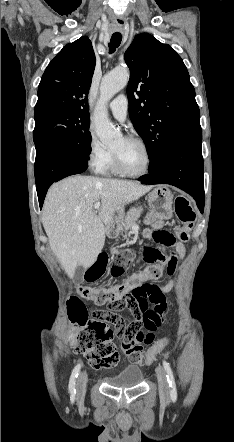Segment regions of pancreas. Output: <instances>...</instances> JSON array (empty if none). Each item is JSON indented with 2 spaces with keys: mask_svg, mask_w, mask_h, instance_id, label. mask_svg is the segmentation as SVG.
I'll use <instances>...</instances> for the list:
<instances>
[{
  "mask_svg": "<svg viewBox=\"0 0 234 442\" xmlns=\"http://www.w3.org/2000/svg\"><path fill=\"white\" fill-rule=\"evenodd\" d=\"M142 213V210L140 208H131L126 216L120 221L121 224V230L124 232H127L131 226L138 220ZM122 212H119V215H121Z\"/></svg>",
  "mask_w": 234,
  "mask_h": 442,
  "instance_id": "pancreas-1",
  "label": "pancreas"
}]
</instances>
